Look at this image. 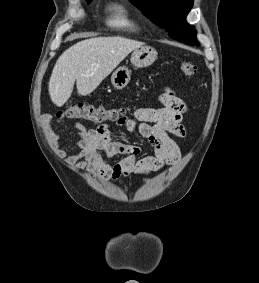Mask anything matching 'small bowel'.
<instances>
[{
	"label": "small bowel",
	"instance_id": "small-bowel-1",
	"mask_svg": "<svg viewBox=\"0 0 259 283\" xmlns=\"http://www.w3.org/2000/svg\"><path fill=\"white\" fill-rule=\"evenodd\" d=\"M158 100L161 107L138 108L133 117H123L117 121V125L124 127L127 132L137 131L147 139L152 148L151 155L139 158L142 149L138 145L112 140L109 125L89 129L75 123L69 136L75 139L74 147L78 152L66 156V164L111 181L135 174L148 175L175 164L180 158V150L171 136H185L183 120L188 109L172 91H165ZM43 119L48 121L49 117L44 116ZM55 122L65 123L62 118H57ZM115 157L120 159L112 163L110 160Z\"/></svg>",
	"mask_w": 259,
	"mask_h": 283
}]
</instances>
